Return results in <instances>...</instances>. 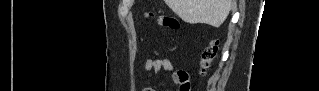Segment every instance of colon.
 I'll return each mask as SVG.
<instances>
[{"mask_svg":"<svg viewBox=\"0 0 319 91\" xmlns=\"http://www.w3.org/2000/svg\"><path fill=\"white\" fill-rule=\"evenodd\" d=\"M150 17H154V14H150ZM156 20L159 25L168 28L170 30H177L180 27V22L169 15H158L156 16ZM217 53V43L211 42L202 52L201 55V65L203 70H206L214 57L216 56ZM179 90L180 91H190L191 86H190V81L188 75L184 73L179 74Z\"/></svg>","mask_w":319,"mask_h":91,"instance_id":"5ec220e1","label":"colon"}]
</instances>
